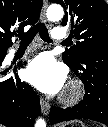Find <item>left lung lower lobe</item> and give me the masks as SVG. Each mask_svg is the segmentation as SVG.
Listing matches in <instances>:
<instances>
[{
	"mask_svg": "<svg viewBox=\"0 0 108 127\" xmlns=\"http://www.w3.org/2000/svg\"><path fill=\"white\" fill-rule=\"evenodd\" d=\"M101 60L104 68L108 67V55L101 57ZM84 73L91 77H88L87 81H82L86 91L83 101L68 109L51 107V124L85 118L108 126V68L103 70L100 67L97 70L94 62H87L82 68L81 74Z\"/></svg>",
	"mask_w": 108,
	"mask_h": 127,
	"instance_id": "left-lung-lower-lobe-1",
	"label": "left lung lower lobe"
}]
</instances>
